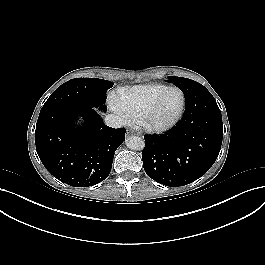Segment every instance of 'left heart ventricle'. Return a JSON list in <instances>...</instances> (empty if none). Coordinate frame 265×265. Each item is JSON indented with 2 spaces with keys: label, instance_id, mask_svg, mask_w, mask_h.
<instances>
[{
  "label": "left heart ventricle",
  "instance_id": "obj_1",
  "mask_svg": "<svg viewBox=\"0 0 265 265\" xmlns=\"http://www.w3.org/2000/svg\"><path fill=\"white\" fill-rule=\"evenodd\" d=\"M181 104L180 93L171 90L166 93L157 107L153 119L157 122H164L175 115Z\"/></svg>",
  "mask_w": 265,
  "mask_h": 265
}]
</instances>
